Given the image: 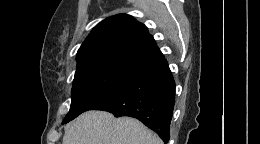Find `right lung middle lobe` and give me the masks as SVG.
Here are the masks:
<instances>
[{"label":"right lung middle lobe","mask_w":260,"mask_h":144,"mask_svg":"<svg viewBox=\"0 0 260 144\" xmlns=\"http://www.w3.org/2000/svg\"><path fill=\"white\" fill-rule=\"evenodd\" d=\"M136 73L134 70L94 66L76 71L72 101L63 123L92 110L121 89Z\"/></svg>","instance_id":"dd1d6c3e"}]
</instances>
